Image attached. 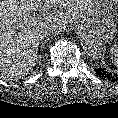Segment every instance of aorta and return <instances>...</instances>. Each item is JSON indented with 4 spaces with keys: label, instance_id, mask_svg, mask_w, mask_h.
I'll use <instances>...</instances> for the list:
<instances>
[{
    "label": "aorta",
    "instance_id": "obj_1",
    "mask_svg": "<svg viewBox=\"0 0 118 118\" xmlns=\"http://www.w3.org/2000/svg\"><path fill=\"white\" fill-rule=\"evenodd\" d=\"M82 48L87 56L94 59L101 58L104 53L102 43L92 35H87L82 39Z\"/></svg>",
    "mask_w": 118,
    "mask_h": 118
}]
</instances>
